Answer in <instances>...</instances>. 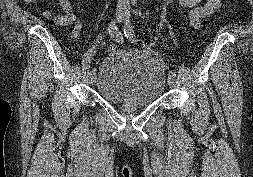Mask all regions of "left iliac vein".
<instances>
[{
	"label": "left iliac vein",
	"mask_w": 253,
	"mask_h": 177,
	"mask_svg": "<svg viewBox=\"0 0 253 177\" xmlns=\"http://www.w3.org/2000/svg\"><path fill=\"white\" fill-rule=\"evenodd\" d=\"M125 23L131 24L130 19L126 18ZM167 83H168V86L172 88L175 86V79L173 77L168 76Z\"/></svg>",
	"instance_id": "1"
}]
</instances>
